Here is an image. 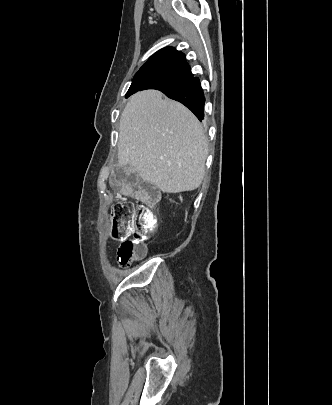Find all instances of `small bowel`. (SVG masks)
Wrapping results in <instances>:
<instances>
[{"mask_svg":"<svg viewBox=\"0 0 332 405\" xmlns=\"http://www.w3.org/2000/svg\"><path fill=\"white\" fill-rule=\"evenodd\" d=\"M109 178L110 186H142L141 172H130L129 168H122L121 163H116Z\"/></svg>","mask_w":332,"mask_h":405,"instance_id":"small-bowel-1","label":"small bowel"}]
</instances>
